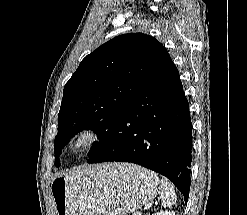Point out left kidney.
Returning <instances> with one entry per match:
<instances>
[{"mask_svg":"<svg viewBox=\"0 0 247 215\" xmlns=\"http://www.w3.org/2000/svg\"><path fill=\"white\" fill-rule=\"evenodd\" d=\"M153 215H175L174 211H160V212H156Z\"/></svg>","mask_w":247,"mask_h":215,"instance_id":"5707ae66","label":"left kidney"}]
</instances>
